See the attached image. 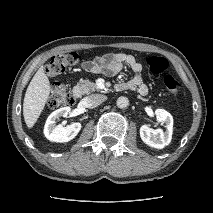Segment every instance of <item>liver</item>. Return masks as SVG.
<instances>
[{"mask_svg":"<svg viewBox=\"0 0 213 213\" xmlns=\"http://www.w3.org/2000/svg\"><path fill=\"white\" fill-rule=\"evenodd\" d=\"M50 94V82L41 66L29 83L23 102V116L28 128L37 122Z\"/></svg>","mask_w":213,"mask_h":213,"instance_id":"obj_1","label":"liver"}]
</instances>
